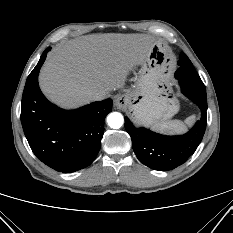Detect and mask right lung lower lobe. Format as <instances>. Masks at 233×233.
Instances as JSON below:
<instances>
[{
	"label": "right lung lower lobe",
	"mask_w": 233,
	"mask_h": 233,
	"mask_svg": "<svg viewBox=\"0 0 233 233\" xmlns=\"http://www.w3.org/2000/svg\"><path fill=\"white\" fill-rule=\"evenodd\" d=\"M45 50L27 78L22 96L21 123L28 143L38 159L56 171L71 173L90 165L101 147L104 120L112 100L93 102L65 111L50 103L38 85Z\"/></svg>",
	"instance_id": "98d812e1"
}]
</instances>
